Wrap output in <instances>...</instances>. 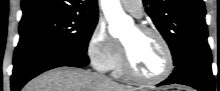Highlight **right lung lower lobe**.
<instances>
[{
  "mask_svg": "<svg viewBox=\"0 0 220 91\" xmlns=\"http://www.w3.org/2000/svg\"><path fill=\"white\" fill-rule=\"evenodd\" d=\"M11 90L19 91L30 79L60 66L84 67L89 64L86 52L44 40L20 41L13 59Z\"/></svg>",
  "mask_w": 220,
  "mask_h": 91,
  "instance_id": "obj_1",
  "label": "right lung lower lobe"
}]
</instances>
